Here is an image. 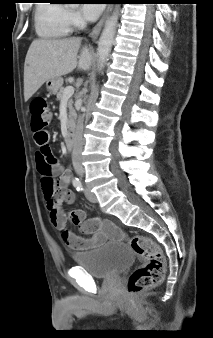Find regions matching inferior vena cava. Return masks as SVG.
<instances>
[{"mask_svg":"<svg viewBox=\"0 0 213 338\" xmlns=\"http://www.w3.org/2000/svg\"><path fill=\"white\" fill-rule=\"evenodd\" d=\"M82 150H83V116H79L76 132L73 140L72 163L75 172L79 176H83L84 169L82 166Z\"/></svg>","mask_w":213,"mask_h":338,"instance_id":"602c4592","label":"inferior vena cava"}]
</instances>
